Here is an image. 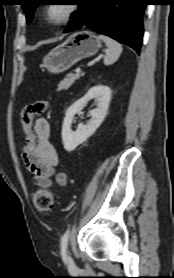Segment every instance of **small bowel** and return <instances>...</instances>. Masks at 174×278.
Instances as JSON below:
<instances>
[{"label": "small bowel", "instance_id": "c3829d8e", "mask_svg": "<svg viewBox=\"0 0 174 278\" xmlns=\"http://www.w3.org/2000/svg\"><path fill=\"white\" fill-rule=\"evenodd\" d=\"M37 147L35 151L28 155H22L23 161L29 172L34 177V182L44 188H49L53 184V178L60 185L67 182L64 173H57L56 168L59 164V157L50 142V124L46 118L36 119L33 126Z\"/></svg>", "mask_w": 174, "mask_h": 278}]
</instances>
